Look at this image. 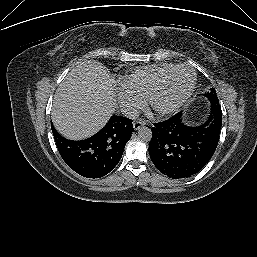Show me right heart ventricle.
Segmentation results:
<instances>
[{
  "instance_id": "obj_1",
  "label": "right heart ventricle",
  "mask_w": 257,
  "mask_h": 257,
  "mask_svg": "<svg viewBox=\"0 0 257 257\" xmlns=\"http://www.w3.org/2000/svg\"><path fill=\"white\" fill-rule=\"evenodd\" d=\"M174 66V64L163 63L140 67L125 76L121 85L141 98L147 99L160 77Z\"/></svg>"
}]
</instances>
